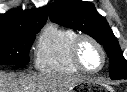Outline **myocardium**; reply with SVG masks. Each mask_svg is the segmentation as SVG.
<instances>
[{
  "instance_id": "obj_1",
  "label": "myocardium",
  "mask_w": 127,
  "mask_h": 92,
  "mask_svg": "<svg viewBox=\"0 0 127 92\" xmlns=\"http://www.w3.org/2000/svg\"><path fill=\"white\" fill-rule=\"evenodd\" d=\"M84 41H89L93 43L96 46V48L99 50V52L101 53L102 64L96 70L86 69L80 60L79 49H80L82 42ZM70 56H71L73 65L80 72L87 73V74H95V73L100 72L105 67L106 62H107V54L102 44L96 38L88 34H79L74 38L72 45H71Z\"/></svg>"
}]
</instances>
